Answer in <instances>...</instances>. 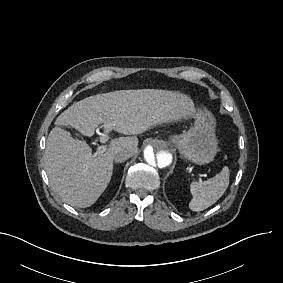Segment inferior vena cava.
<instances>
[{
  "mask_svg": "<svg viewBox=\"0 0 283 283\" xmlns=\"http://www.w3.org/2000/svg\"><path fill=\"white\" fill-rule=\"evenodd\" d=\"M133 155H134L133 149L129 147L127 148L117 147L114 150L113 159L117 163H122L125 162L128 158L132 157Z\"/></svg>",
  "mask_w": 283,
  "mask_h": 283,
  "instance_id": "obj_1",
  "label": "inferior vena cava"
}]
</instances>
